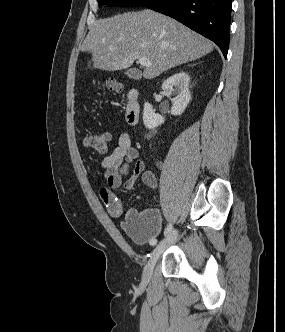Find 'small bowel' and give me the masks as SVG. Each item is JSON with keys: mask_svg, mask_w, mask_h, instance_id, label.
Here are the masks:
<instances>
[{"mask_svg": "<svg viewBox=\"0 0 285 332\" xmlns=\"http://www.w3.org/2000/svg\"><path fill=\"white\" fill-rule=\"evenodd\" d=\"M133 164L131 175L123 182L124 176L129 172L130 165ZM101 168L104 170V178L108 188L100 190V198L112 217H120L124 211L121 198L113 191L121 186L125 190L134 189L137 179L140 177L144 185L155 190L158 181L152 171L146 170L145 163L139 159L136 147L132 145L131 136L128 132H122L118 138V144L111 154L101 161Z\"/></svg>", "mask_w": 285, "mask_h": 332, "instance_id": "c3829d8e", "label": "small bowel"}]
</instances>
